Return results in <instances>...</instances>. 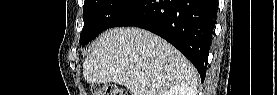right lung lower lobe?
Wrapping results in <instances>:
<instances>
[{
  "label": "right lung lower lobe",
  "instance_id": "1",
  "mask_svg": "<svg viewBox=\"0 0 277 95\" xmlns=\"http://www.w3.org/2000/svg\"><path fill=\"white\" fill-rule=\"evenodd\" d=\"M217 0H143L116 27L136 26L167 40L206 75Z\"/></svg>",
  "mask_w": 277,
  "mask_h": 95
}]
</instances>
